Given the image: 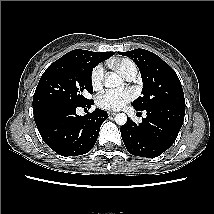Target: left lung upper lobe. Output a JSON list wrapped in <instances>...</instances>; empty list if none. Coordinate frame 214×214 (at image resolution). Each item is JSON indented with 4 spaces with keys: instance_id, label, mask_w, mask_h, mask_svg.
Listing matches in <instances>:
<instances>
[{
    "instance_id": "1",
    "label": "left lung upper lobe",
    "mask_w": 214,
    "mask_h": 214,
    "mask_svg": "<svg viewBox=\"0 0 214 214\" xmlns=\"http://www.w3.org/2000/svg\"><path fill=\"white\" fill-rule=\"evenodd\" d=\"M118 53L131 58L142 76V96L131 104L135 109L143 111L161 105L185 107L183 89L176 72L159 56L145 49Z\"/></svg>"
}]
</instances>
